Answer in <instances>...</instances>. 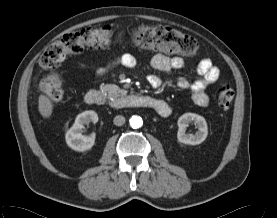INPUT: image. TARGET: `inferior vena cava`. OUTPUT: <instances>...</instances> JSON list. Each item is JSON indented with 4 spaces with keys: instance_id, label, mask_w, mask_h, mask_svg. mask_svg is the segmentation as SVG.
I'll return each instance as SVG.
<instances>
[{
    "instance_id": "obj_1",
    "label": "inferior vena cava",
    "mask_w": 277,
    "mask_h": 218,
    "mask_svg": "<svg viewBox=\"0 0 277 218\" xmlns=\"http://www.w3.org/2000/svg\"><path fill=\"white\" fill-rule=\"evenodd\" d=\"M113 122L116 126H122L125 123V117L122 115H117L115 116Z\"/></svg>"
}]
</instances>
